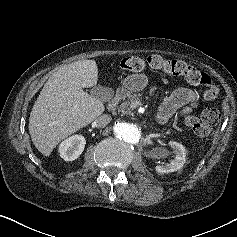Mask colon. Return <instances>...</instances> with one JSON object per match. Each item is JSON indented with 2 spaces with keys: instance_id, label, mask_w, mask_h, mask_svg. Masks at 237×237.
Listing matches in <instances>:
<instances>
[{
  "instance_id": "1",
  "label": "colon",
  "mask_w": 237,
  "mask_h": 237,
  "mask_svg": "<svg viewBox=\"0 0 237 237\" xmlns=\"http://www.w3.org/2000/svg\"><path fill=\"white\" fill-rule=\"evenodd\" d=\"M146 67L161 70L171 76L183 77L190 84L201 86L203 88V98L207 101L214 100L218 95V88L208 74L182 60H170L159 55H152L147 58L130 56L120 62V70L123 73L139 72ZM219 121L220 113L215 108L205 109L200 118L192 115L185 117L186 125L199 136L209 135L217 128Z\"/></svg>"
}]
</instances>
